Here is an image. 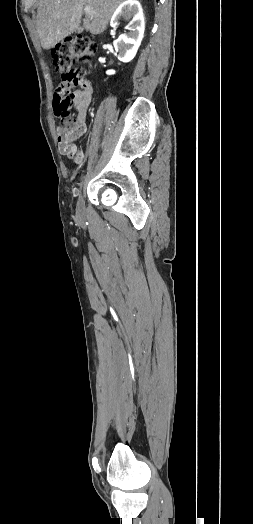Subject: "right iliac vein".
I'll return each instance as SVG.
<instances>
[{
	"label": "right iliac vein",
	"mask_w": 253,
	"mask_h": 524,
	"mask_svg": "<svg viewBox=\"0 0 253 524\" xmlns=\"http://www.w3.org/2000/svg\"><path fill=\"white\" fill-rule=\"evenodd\" d=\"M76 214L78 217H82L84 214V199L82 195L79 196L76 203Z\"/></svg>",
	"instance_id": "obj_1"
}]
</instances>
